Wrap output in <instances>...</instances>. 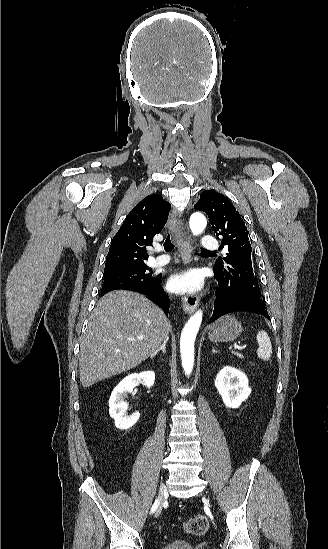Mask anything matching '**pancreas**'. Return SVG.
<instances>
[{
	"mask_svg": "<svg viewBox=\"0 0 328 549\" xmlns=\"http://www.w3.org/2000/svg\"><path fill=\"white\" fill-rule=\"evenodd\" d=\"M233 355H236V357H238V359H244L243 355H241V353H233Z\"/></svg>",
	"mask_w": 328,
	"mask_h": 549,
	"instance_id": "obj_1",
	"label": "pancreas"
}]
</instances>
